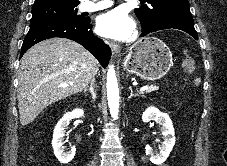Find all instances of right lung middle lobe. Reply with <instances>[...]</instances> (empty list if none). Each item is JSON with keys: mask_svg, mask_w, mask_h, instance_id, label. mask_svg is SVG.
I'll return each mask as SVG.
<instances>
[{"mask_svg": "<svg viewBox=\"0 0 227 166\" xmlns=\"http://www.w3.org/2000/svg\"><path fill=\"white\" fill-rule=\"evenodd\" d=\"M78 4L45 3L33 5L30 26L50 20L82 21L85 17L77 14Z\"/></svg>", "mask_w": 227, "mask_h": 166, "instance_id": "1", "label": "right lung middle lobe"}]
</instances>
